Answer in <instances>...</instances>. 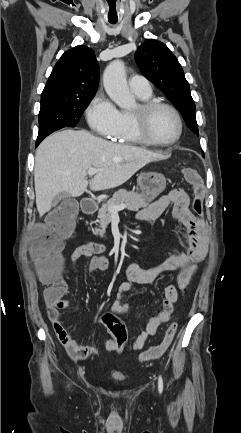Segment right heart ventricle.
<instances>
[{
  "instance_id": "obj_1",
  "label": "right heart ventricle",
  "mask_w": 241,
  "mask_h": 433,
  "mask_svg": "<svg viewBox=\"0 0 241 433\" xmlns=\"http://www.w3.org/2000/svg\"><path fill=\"white\" fill-rule=\"evenodd\" d=\"M136 96L142 101H147L150 99L151 95L143 96L136 94ZM112 141L130 144V145H142L143 142L137 135L131 117V112L123 111L121 112V122L117 132L111 137Z\"/></svg>"
}]
</instances>
